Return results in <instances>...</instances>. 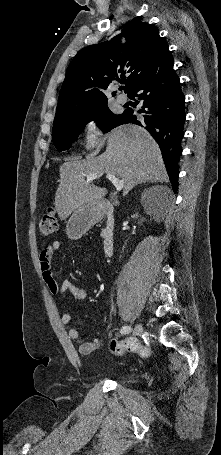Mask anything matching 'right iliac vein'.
Masks as SVG:
<instances>
[{
	"label": "right iliac vein",
	"instance_id": "right-iliac-vein-1",
	"mask_svg": "<svg viewBox=\"0 0 221 455\" xmlns=\"http://www.w3.org/2000/svg\"><path fill=\"white\" fill-rule=\"evenodd\" d=\"M143 333V327L141 324H137L133 330V335L140 336Z\"/></svg>",
	"mask_w": 221,
	"mask_h": 455
}]
</instances>
